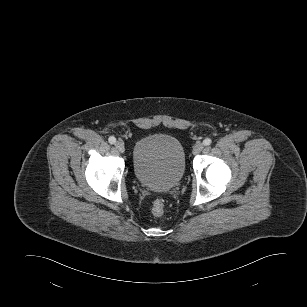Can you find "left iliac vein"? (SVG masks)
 <instances>
[{
    "label": "left iliac vein",
    "instance_id": "obj_1",
    "mask_svg": "<svg viewBox=\"0 0 307 307\" xmlns=\"http://www.w3.org/2000/svg\"><path fill=\"white\" fill-rule=\"evenodd\" d=\"M204 148V145L202 143H197L195 144V146L193 147V154L196 155V154H199Z\"/></svg>",
    "mask_w": 307,
    "mask_h": 307
}]
</instances>
